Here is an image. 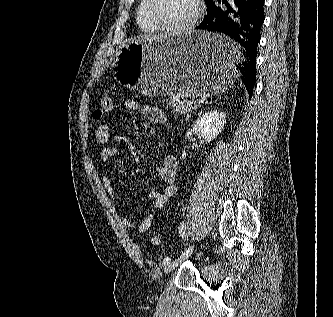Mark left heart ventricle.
Segmentation results:
<instances>
[{"mask_svg":"<svg viewBox=\"0 0 333 317\" xmlns=\"http://www.w3.org/2000/svg\"><path fill=\"white\" fill-rule=\"evenodd\" d=\"M194 12L193 0H154L153 14L162 23L180 26L187 23Z\"/></svg>","mask_w":333,"mask_h":317,"instance_id":"left-heart-ventricle-1","label":"left heart ventricle"}]
</instances>
